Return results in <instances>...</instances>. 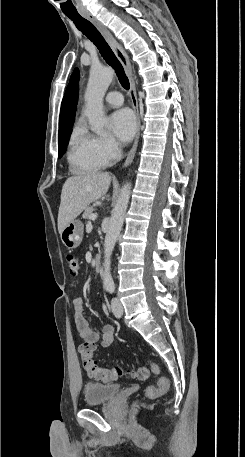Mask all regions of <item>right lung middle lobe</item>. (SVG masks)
Masks as SVG:
<instances>
[{
	"mask_svg": "<svg viewBox=\"0 0 245 457\" xmlns=\"http://www.w3.org/2000/svg\"><path fill=\"white\" fill-rule=\"evenodd\" d=\"M72 125H67L59 128V134H58V145H59V150H58V157L60 158L64 152L66 151V147L68 145V140L69 136L72 132Z\"/></svg>",
	"mask_w": 245,
	"mask_h": 457,
	"instance_id": "dd1d6c3e",
	"label": "right lung middle lobe"
}]
</instances>
